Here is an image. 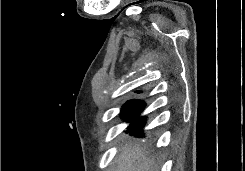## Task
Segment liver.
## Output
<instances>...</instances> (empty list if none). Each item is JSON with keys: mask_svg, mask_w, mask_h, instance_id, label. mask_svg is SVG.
Masks as SVG:
<instances>
[{"mask_svg": "<svg viewBox=\"0 0 245 171\" xmlns=\"http://www.w3.org/2000/svg\"><path fill=\"white\" fill-rule=\"evenodd\" d=\"M115 171H159L148 152L138 145H126L116 158Z\"/></svg>", "mask_w": 245, "mask_h": 171, "instance_id": "6515ba94", "label": "liver"}]
</instances>
